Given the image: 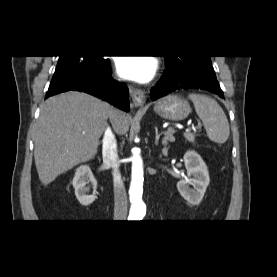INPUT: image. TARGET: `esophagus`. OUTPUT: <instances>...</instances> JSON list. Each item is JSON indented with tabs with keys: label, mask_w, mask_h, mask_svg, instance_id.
<instances>
[{
	"label": "esophagus",
	"mask_w": 277,
	"mask_h": 277,
	"mask_svg": "<svg viewBox=\"0 0 277 277\" xmlns=\"http://www.w3.org/2000/svg\"><path fill=\"white\" fill-rule=\"evenodd\" d=\"M130 95L135 107L142 108L145 104L146 97L141 89L135 88L133 86L129 87Z\"/></svg>",
	"instance_id": "esophagus-1"
}]
</instances>
